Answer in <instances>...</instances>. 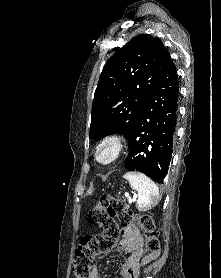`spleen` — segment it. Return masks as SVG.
I'll return each instance as SVG.
<instances>
[{"instance_id":"obj_1","label":"spleen","mask_w":221,"mask_h":278,"mask_svg":"<svg viewBox=\"0 0 221 278\" xmlns=\"http://www.w3.org/2000/svg\"><path fill=\"white\" fill-rule=\"evenodd\" d=\"M123 177L129 181L131 188L138 192L137 207L140 211H147L158 204L159 189L149 177L136 172H128Z\"/></svg>"}]
</instances>
